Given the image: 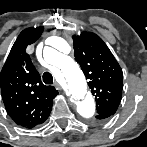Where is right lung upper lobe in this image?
I'll use <instances>...</instances> for the list:
<instances>
[{"label": "right lung upper lobe", "mask_w": 147, "mask_h": 147, "mask_svg": "<svg viewBox=\"0 0 147 147\" xmlns=\"http://www.w3.org/2000/svg\"><path fill=\"white\" fill-rule=\"evenodd\" d=\"M43 27L23 30L16 39L0 74L1 95L9 116L17 125L32 128L48 118L58 91L45 86L26 47L39 39Z\"/></svg>", "instance_id": "1"}]
</instances>
